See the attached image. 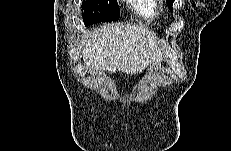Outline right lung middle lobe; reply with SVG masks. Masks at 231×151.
I'll return each instance as SVG.
<instances>
[{
    "mask_svg": "<svg viewBox=\"0 0 231 151\" xmlns=\"http://www.w3.org/2000/svg\"><path fill=\"white\" fill-rule=\"evenodd\" d=\"M117 0H83L82 17L84 24L116 21L119 19Z\"/></svg>",
    "mask_w": 231,
    "mask_h": 151,
    "instance_id": "dd1d6c3e",
    "label": "right lung middle lobe"
}]
</instances>
